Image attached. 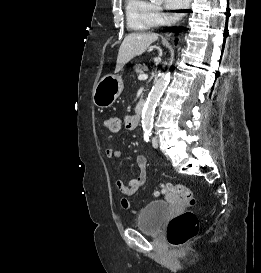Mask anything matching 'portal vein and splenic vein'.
Masks as SVG:
<instances>
[{
	"label": "portal vein and splenic vein",
	"instance_id": "1",
	"mask_svg": "<svg viewBox=\"0 0 261 273\" xmlns=\"http://www.w3.org/2000/svg\"><path fill=\"white\" fill-rule=\"evenodd\" d=\"M147 78H148V75H147V74H141V75H139V77H138L139 80H145V79H147Z\"/></svg>",
	"mask_w": 261,
	"mask_h": 273
}]
</instances>
